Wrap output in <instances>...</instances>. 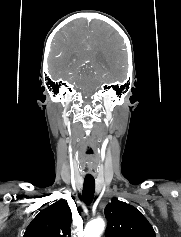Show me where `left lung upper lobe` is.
I'll list each match as a JSON object with an SVG mask.
<instances>
[{"label":"left lung upper lobe","mask_w":181,"mask_h":237,"mask_svg":"<svg viewBox=\"0 0 181 237\" xmlns=\"http://www.w3.org/2000/svg\"><path fill=\"white\" fill-rule=\"evenodd\" d=\"M106 237H156L148 220L132 205L113 198L104 210Z\"/></svg>","instance_id":"5c2ea615"}]
</instances>
